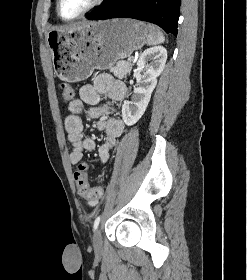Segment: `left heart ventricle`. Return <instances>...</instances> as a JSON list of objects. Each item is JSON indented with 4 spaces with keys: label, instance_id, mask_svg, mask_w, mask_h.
Returning <instances> with one entry per match:
<instances>
[{
    "label": "left heart ventricle",
    "instance_id": "obj_1",
    "mask_svg": "<svg viewBox=\"0 0 247 280\" xmlns=\"http://www.w3.org/2000/svg\"><path fill=\"white\" fill-rule=\"evenodd\" d=\"M93 0H62L60 11L64 18H72L88 7Z\"/></svg>",
    "mask_w": 247,
    "mask_h": 280
}]
</instances>
